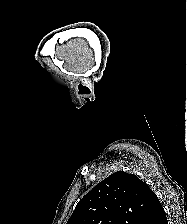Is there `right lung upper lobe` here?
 Returning <instances> with one entry per match:
<instances>
[{
  "label": "right lung upper lobe",
  "instance_id": "1",
  "mask_svg": "<svg viewBox=\"0 0 187 224\" xmlns=\"http://www.w3.org/2000/svg\"><path fill=\"white\" fill-rule=\"evenodd\" d=\"M165 219L148 185L133 174L118 171L77 203L66 224H162Z\"/></svg>",
  "mask_w": 187,
  "mask_h": 224
}]
</instances>
